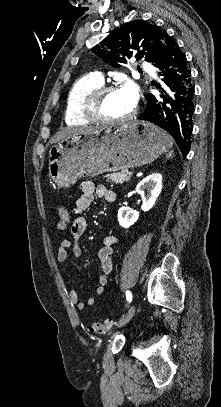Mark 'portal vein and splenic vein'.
I'll list each match as a JSON object with an SVG mask.
<instances>
[{
  "label": "portal vein and splenic vein",
  "instance_id": "portal-vein-and-splenic-vein-1",
  "mask_svg": "<svg viewBox=\"0 0 221 407\" xmlns=\"http://www.w3.org/2000/svg\"><path fill=\"white\" fill-rule=\"evenodd\" d=\"M129 175H133V173H132V172H129Z\"/></svg>",
  "mask_w": 221,
  "mask_h": 407
}]
</instances>
